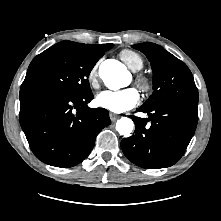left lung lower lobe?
Segmentation results:
<instances>
[{"instance_id":"1","label":"left lung lower lobe","mask_w":221,"mask_h":221,"mask_svg":"<svg viewBox=\"0 0 221 221\" xmlns=\"http://www.w3.org/2000/svg\"><path fill=\"white\" fill-rule=\"evenodd\" d=\"M138 111L149 117L130 116L135 133L121 141L124 155L142 168L172 166L182 157L194 135L198 104L170 101L154 107L141 106Z\"/></svg>"}]
</instances>
